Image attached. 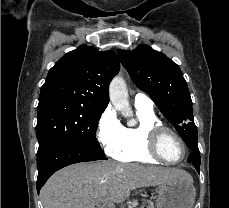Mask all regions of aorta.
Here are the masks:
<instances>
[{
    "label": "aorta",
    "instance_id": "obj_1",
    "mask_svg": "<svg viewBox=\"0 0 229 208\" xmlns=\"http://www.w3.org/2000/svg\"><path fill=\"white\" fill-rule=\"evenodd\" d=\"M109 97L115 109L121 112L124 117L130 118L133 116L128 101L127 85L121 76H116L111 81L109 86Z\"/></svg>",
    "mask_w": 229,
    "mask_h": 208
}]
</instances>
